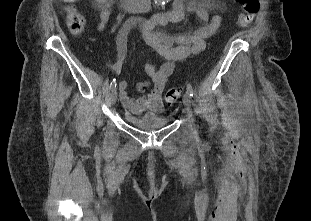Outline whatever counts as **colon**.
Segmentation results:
<instances>
[{
  "instance_id": "colon-1",
  "label": "colon",
  "mask_w": 311,
  "mask_h": 221,
  "mask_svg": "<svg viewBox=\"0 0 311 221\" xmlns=\"http://www.w3.org/2000/svg\"><path fill=\"white\" fill-rule=\"evenodd\" d=\"M243 10L238 15V24L240 26H247L253 22L256 13L260 8L259 0H239ZM66 25L71 33L74 35L81 34L85 29V17L74 6H65ZM181 93L179 87H171L167 89L164 99L167 104L174 103L178 100Z\"/></svg>"
}]
</instances>
